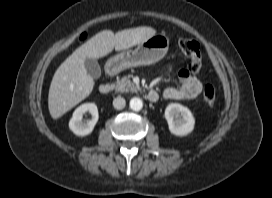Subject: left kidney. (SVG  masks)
<instances>
[{
  "instance_id": "5707ae66",
  "label": "left kidney",
  "mask_w": 272,
  "mask_h": 198,
  "mask_svg": "<svg viewBox=\"0 0 272 198\" xmlns=\"http://www.w3.org/2000/svg\"><path fill=\"white\" fill-rule=\"evenodd\" d=\"M169 131L175 136H186L194 129L195 118L191 111L178 103H171L165 109Z\"/></svg>"
}]
</instances>
